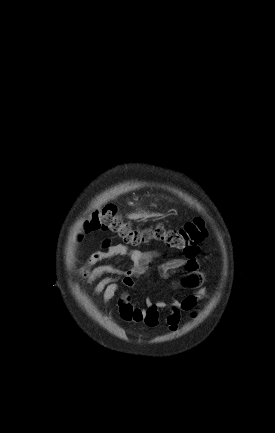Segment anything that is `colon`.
<instances>
[{
	"label": "colon",
	"mask_w": 275,
	"mask_h": 433,
	"mask_svg": "<svg viewBox=\"0 0 275 433\" xmlns=\"http://www.w3.org/2000/svg\"><path fill=\"white\" fill-rule=\"evenodd\" d=\"M84 230L110 232L121 238L125 244L132 246L151 241L162 242L169 248L182 252L185 257L196 255L198 244L206 236L201 219H194L175 228L162 223L144 229L134 227L118 214L115 205L95 209L85 222Z\"/></svg>",
	"instance_id": "1"
}]
</instances>
